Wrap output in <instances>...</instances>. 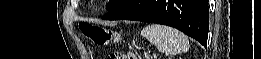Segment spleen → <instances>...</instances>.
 <instances>
[{"mask_svg":"<svg viewBox=\"0 0 261 59\" xmlns=\"http://www.w3.org/2000/svg\"><path fill=\"white\" fill-rule=\"evenodd\" d=\"M141 36L162 53L180 54L189 50L188 38L180 31L159 24H150L141 31Z\"/></svg>","mask_w":261,"mask_h":59,"instance_id":"spleen-1","label":"spleen"}]
</instances>
